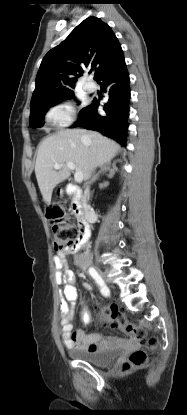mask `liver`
Returning <instances> with one entry per match:
<instances>
[{
    "mask_svg": "<svg viewBox=\"0 0 187 415\" xmlns=\"http://www.w3.org/2000/svg\"><path fill=\"white\" fill-rule=\"evenodd\" d=\"M119 149L118 143L95 131L70 129L46 137L39 145L35 164L44 202L49 205L53 189L69 178L71 172L67 162H73L88 179L92 164L102 166L110 163ZM55 164L61 165L59 171L54 170Z\"/></svg>",
    "mask_w": 187,
    "mask_h": 415,
    "instance_id": "obj_1",
    "label": "liver"
}]
</instances>
